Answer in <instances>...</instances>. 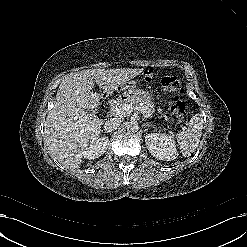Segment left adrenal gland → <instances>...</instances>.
I'll return each instance as SVG.
<instances>
[{"instance_id": "1", "label": "left adrenal gland", "mask_w": 247, "mask_h": 247, "mask_svg": "<svg viewBox=\"0 0 247 247\" xmlns=\"http://www.w3.org/2000/svg\"><path fill=\"white\" fill-rule=\"evenodd\" d=\"M143 126H145V127H152L153 125L151 124V123H143Z\"/></svg>"}]
</instances>
